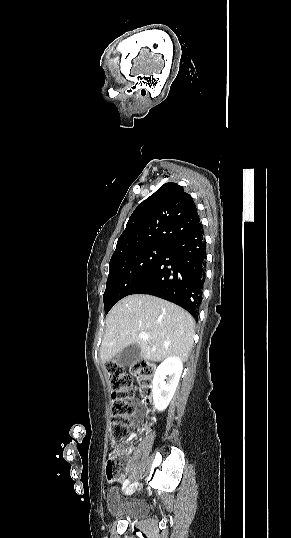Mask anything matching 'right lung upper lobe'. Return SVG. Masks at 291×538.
Wrapping results in <instances>:
<instances>
[{
	"instance_id": "1",
	"label": "right lung upper lobe",
	"mask_w": 291,
	"mask_h": 538,
	"mask_svg": "<svg viewBox=\"0 0 291 538\" xmlns=\"http://www.w3.org/2000/svg\"><path fill=\"white\" fill-rule=\"evenodd\" d=\"M201 225L193 198L168 182L137 206L111 258L145 246H171Z\"/></svg>"
}]
</instances>
